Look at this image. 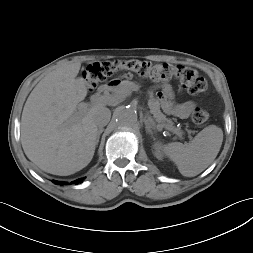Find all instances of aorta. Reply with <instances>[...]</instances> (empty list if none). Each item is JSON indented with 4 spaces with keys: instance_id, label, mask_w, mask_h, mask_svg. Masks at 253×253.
Masks as SVG:
<instances>
[{
    "instance_id": "762f6f07",
    "label": "aorta",
    "mask_w": 253,
    "mask_h": 253,
    "mask_svg": "<svg viewBox=\"0 0 253 253\" xmlns=\"http://www.w3.org/2000/svg\"><path fill=\"white\" fill-rule=\"evenodd\" d=\"M115 118L118 125L131 127L137 122V112L132 107H121L116 111Z\"/></svg>"
}]
</instances>
